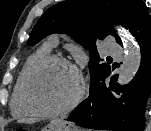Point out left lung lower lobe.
<instances>
[{
	"instance_id": "obj_1",
	"label": "left lung lower lobe",
	"mask_w": 151,
	"mask_h": 131,
	"mask_svg": "<svg viewBox=\"0 0 151 131\" xmlns=\"http://www.w3.org/2000/svg\"><path fill=\"white\" fill-rule=\"evenodd\" d=\"M141 48V63L133 80L122 87L110 69L90 86L89 97L68 116L76 125L109 131H143L145 105L151 92V17L145 4L139 8L130 28ZM114 69V68H113Z\"/></svg>"
}]
</instances>
